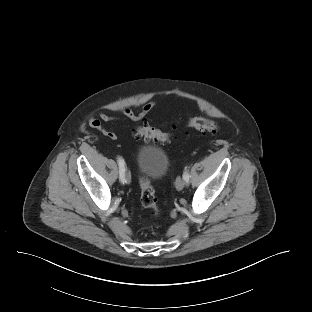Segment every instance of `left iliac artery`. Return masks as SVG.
Masks as SVG:
<instances>
[{
	"label": "left iliac artery",
	"instance_id": "obj_1",
	"mask_svg": "<svg viewBox=\"0 0 312 312\" xmlns=\"http://www.w3.org/2000/svg\"><path fill=\"white\" fill-rule=\"evenodd\" d=\"M189 178H190V175H189V171L187 169V167H185V170H184V173H183V179L188 182L189 181Z\"/></svg>",
	"mask_w": 312,
	"mask_h": 312
}]
</instances>
